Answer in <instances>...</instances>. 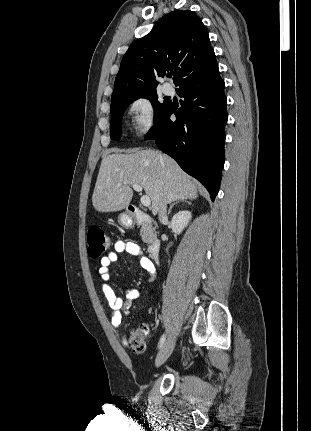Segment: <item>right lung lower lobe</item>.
<instances>
[{"mask_svg": "<svg viewBox=\"0 0 311 431\" xmlns=\"http://www.w3.org/2000/svg\"><path fill=\"white\" fill-rule=\"evenodd\" d=\"M225 83L217 68L177 89L185 100L179 110L172 103L160 116L145 140L153 139L164 153L198 179L214 201L224 165L225 124L227 122ZM174 113L176 120L170 115Z\"/></svg>", "mask_w": 311, "mask_h": 431, "instance_id": "right-lung-lower-lobe-1", "label": "right lung lower lobe"}]
</instances>
